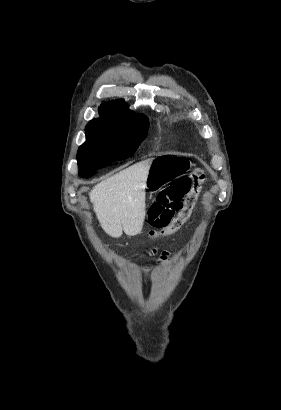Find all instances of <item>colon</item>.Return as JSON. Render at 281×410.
Masks as SVG:
<instances>
[{
    "mask_svg": "<svg viewBox=\"0 0 281 410\" xmlns=\"http://www.w3.org/2000/svg\"><path fill=\"white\" fill-rule=\"evenodd\" d=\"M205 179V172L196 169L159 192L149 209L152 229L147 235L150 238L173 233L183 225L191 214Z\"/></svg>",
    "mask_w": 281,
    "mask_h": 410,
    "instance_id": "obj_1",
    "label": "colon"
}]
</instances>
